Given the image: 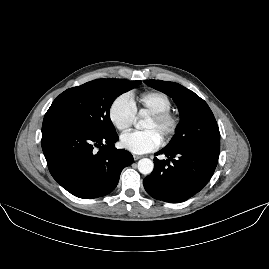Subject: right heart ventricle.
Here are the masks:
<instances>
[{
	"label": "right heart ventricle",
	"mask_w": 269,
	"mask_h": 269,
	"mask_svg": "<svg viewBox=\"0 0 269 269\" xmlns=\"http://www.w3.org/2000/svg\"><path fill=\"white\" fill-rule=\"evenodd\" d=\"M135 109L138 114H151L157 111H166L172 108L170 97L160 91H153L139 96L136 100Z\"/></svg>",
	"instance_id": "right-heart-ventricle-1"
}]
</instances>
